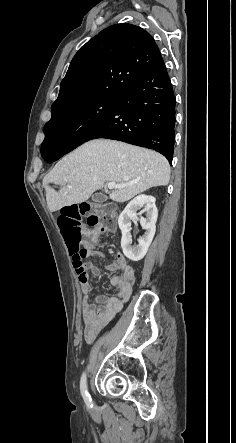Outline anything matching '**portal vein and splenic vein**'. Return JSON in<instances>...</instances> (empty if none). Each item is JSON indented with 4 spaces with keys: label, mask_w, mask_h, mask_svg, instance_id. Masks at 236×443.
<instances>
[{
    "label": "portal vein and splenic vein",
    "mask_w": 236,
    "mask_h": 443,
    "mask_svg": "<svg viewBox=\"0 0 236 443\" xmlns=\"http://www.w3.org/2000/svg\"><path fill=\"white\" fill-rule=\"evenodd\" d=\"M68 187L70 188V186H68ZM123 187H125V185L116 184L115 182H109V183H108V188H109L110 190H112V189H118V188H123Z\"/></svg>",
    "instance_id": "18ae733b"
}]
</instances>
